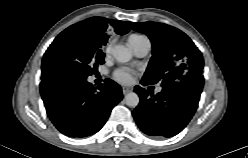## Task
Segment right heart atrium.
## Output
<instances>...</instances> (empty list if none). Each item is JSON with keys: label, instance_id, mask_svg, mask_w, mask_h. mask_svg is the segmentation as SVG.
I'll return each mask as SVG.
<instances>
[{"label": "right heart atrium", "instance_id": "1", "mask_svg": "<svg viewBox=\"0 0 248 158\" xmlns=\"http://www.w3.org/2000/svg\"><path fill=\"white\" fill-rule=\"evenodd\" d=\"M109 49H110V46L107 47V51H109Z\"/></svg>", "mask_w": 248, "mask_h": 158}]
</instances>
